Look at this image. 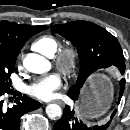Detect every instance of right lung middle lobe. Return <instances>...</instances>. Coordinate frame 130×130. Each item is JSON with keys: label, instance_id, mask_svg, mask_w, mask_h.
<instances>
[{"label": "right lung middle lobe", "instance_id": "right-lung-middle-lobe-1", "mask_svg": "<svg viewBox=\"0 0 130 130\" xmlns=\"http://www.w3.org/2000/svg\"><path fill=\"white\" fill-rule=\"evenodd\" d=\"M17 56L18 53L11 51L5 46H0V89L6 90L10 88V75L14 72Z\"/></svg>", "mask_w": 130, "mask_h": 130}]
</instances>
